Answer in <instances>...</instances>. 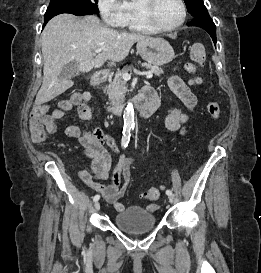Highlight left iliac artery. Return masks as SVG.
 <instances>
[{
	"mask_svg": "<svg viewBox=\"0 0 261 273\" xmlns=\"http://www.w3.org/2000/svg\"><path fill=\"white\" fill-rule=\"evenodd\" d=\"M166 194L167 195H172V191L171 190H166Z\"/></svg>",
	"mask_w": 261,
	"mask_h": 273,
	"instance_id": "left-iliac-artery-1",
	"label": "left iliac artery"
}]
</instances>
